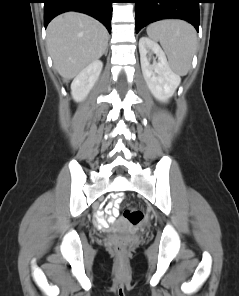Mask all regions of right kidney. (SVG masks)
<instances>
[{
    "label": "right kidney",
    "instance_id": "1",
    "mask_svg": "<svg viewBox=\"0 0 239 296\" xmlns=\"http://www.w3.org/2000/svg\"><path fill=\"white\" fill-rule=\"evenodd\" d=\"M102 68V61H93L74 78L71 84V95L74 101L81 102L88 96L98 81Z\"/></svg>",
    "mask_w": 239,
    "mask_h": 296
}]
</instances>
